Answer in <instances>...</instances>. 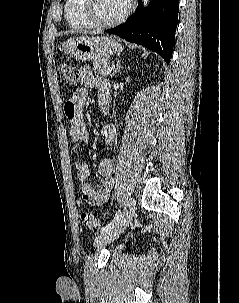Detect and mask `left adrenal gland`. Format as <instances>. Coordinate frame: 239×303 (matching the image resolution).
Segmentation results:
<instances>
[{
	"mask_svg": "<svg viewBox=\"0 0 239 303\" xmlns=\"http://www.w3.org/2000/svg\"><path fill=\"white\" fill-rule=\"evenodd\" d=\"M121 68H122V66H121V64H120V61H117V63H116V68L114 69V71H113L111 77H113L114 75H116V74L120 71Z\"/></svg>",
	"mask_w": 239,
	"mask_h": 303,
	"instance_id": "left-adrenal-gland-1",
	"label": "left adrenal gland"
}]
</instances>
